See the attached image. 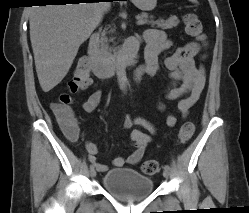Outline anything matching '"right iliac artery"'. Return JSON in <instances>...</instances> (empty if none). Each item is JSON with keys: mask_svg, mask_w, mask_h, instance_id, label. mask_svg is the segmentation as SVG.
Instances as JSON below:
<instances>
[{"mask_svg": "<svg viewBox=\"0 0 249 213\" xmlns=\"http://www.w3.org/2000/svg\"><path fill=\"white\" fill-rule=\"evenodd\" d=\"M90 169L91 170L94 169V165L93 164L90 165Z\"/></svg>", "mask_w": 249, "mask_h": 213, "instance_id": "right-iliac-artery-1", "label": "right iliac artery"}]
</instances>
